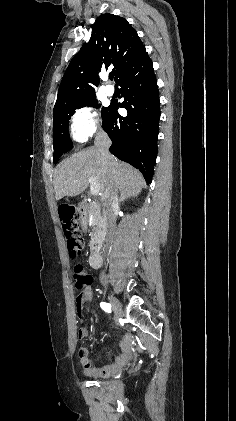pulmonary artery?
<instances>
[{"label": "pulmonary artery", "mask_w": 236, "mask_h": 421, "mask_svg": "<svg viewBox=\"0 0 236 421\" xmlns=\"http://www.w3.org/2000/svg\"><path fill=\"white\" fill-rule=\"evenodd\" d=\"M114 92H115V90H114V88L112 86L107 85V86L104 87V93L107 96H112L114 94Z\"/></svg>", "instance_id": "e3ab8cb5"}]
</instances>
